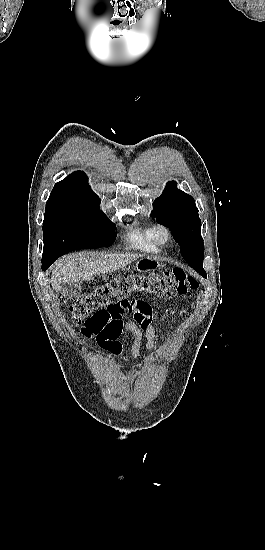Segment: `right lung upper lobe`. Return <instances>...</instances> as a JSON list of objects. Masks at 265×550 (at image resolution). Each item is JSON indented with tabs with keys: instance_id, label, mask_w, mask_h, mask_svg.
Instances as JSON below:
<instances>
[{
	"instance_id": "right-lung-upper-lobe-1",
	"label": "right lung upper lobe",
	"mask_w": 265,
	"mask_h": 550,
	"mask_svg": "<svg viewBox=\"0 0 265 550\" xmlns=\"http://www.w3.org/2000/svg\"><path fill=\"white\" fill-rule=\"evenodd\" d=\"M86 198H99L88 184L83 171H76L55 184L47 202H71Z\"/></svg>"
}]
</instances>
